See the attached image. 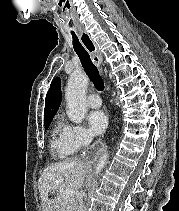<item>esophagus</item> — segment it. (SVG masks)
I'll list each match as a JSON object with an SVG mask.
<instances>
[{"mask_svg":"<svg viewBox=\"0 0 179 211\" xmlns=\"http://www.w3.org/2000/svg\"><path fill=\"white\" fill-rule=\"evenodd\" d=\"M82 41L88 48V53H90V56H92L95 65L100 67L102 63V56L98 51L95 50L93 43L83 31ZM106 148V144H93V147H88V151H83V159H85V163H96L95 156H99V152H103V149Z\"/></svg>","mask_w":179,"mask_h":211,"instance_id":"1","label":"esophagus"}]
</instances>
